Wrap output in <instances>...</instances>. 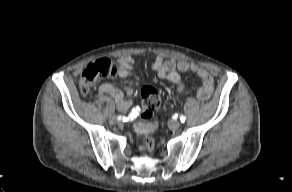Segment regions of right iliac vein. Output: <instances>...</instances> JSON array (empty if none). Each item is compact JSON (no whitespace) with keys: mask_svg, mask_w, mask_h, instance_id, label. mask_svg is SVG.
Returning a JSON list of instances; mask_svg holds the SVG:
<instances>
[{"mask_svg":"<svg viewBox=\"0 0 292 192\" xmlns=\"http://www.w3.org/2000/svg\"><path fill=\"white\" fill-rule=\"evenodd\" d=\"M109 121H110V123L115 124V123H117L118 119L116 116L113 115L109 118Z\"/></svg>","mask_w":292,"mask_h":192,"instance_id":"1","label":"right iliac vein"}]
</instances>
